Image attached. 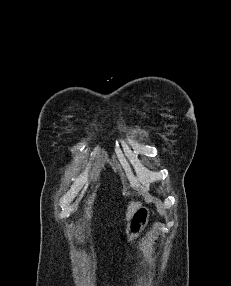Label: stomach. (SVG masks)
Here are the masks:
<instances>
[{"instance_id": "1", "label": "stomach", "mask_w": 231, "mask_h": 286, "mask_svg": "<svg viewBox=\"0 0 231 286\" xmlns=\"http://www.w3.org/2000/svg\"><path fill=\"white\" fill-rule=\"evenodd\" d=\"M150 217L147 207H140L131 217L126 227V238L128 242L137 239L146 228Z\"/></svg>"}]
</instances>
